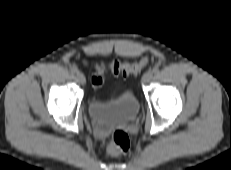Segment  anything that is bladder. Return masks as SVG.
Listing matches in <instances>:
<instances>
[{"mask_svg": "<svg viewBox=\"0 0 231 170\" xmlns=\"http://www.w3.org/2000/svg\"><path fill=\"white\" fill-rule=\"evenodd\" d=\"M138 112L139 101L129 90L108 102L93 98L88 104L92 122L106 128L127 124L135 119Z\"/></svg>", "mask_w": 231, "mask_h": 170, "instance_id": "1", "label": "bladder"}]
</instances>
